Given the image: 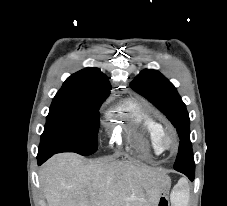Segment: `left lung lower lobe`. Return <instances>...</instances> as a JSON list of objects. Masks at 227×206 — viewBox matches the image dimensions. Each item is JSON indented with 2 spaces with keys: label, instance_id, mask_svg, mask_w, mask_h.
<instances>
[{
  "label": "left lung lower lobe",
  "instance_id": "0a47b994",
  "mask_svg": "<svg viewBox=\"0 0 227 206\" xmlns=\"http://www.w3.org/2000/svg\"><path fill=\"white\" fill-rule=\"evenodd\" d=\"M177 171L184 173L191 181L194 180L195 168H193V169H178Z\"/></svg>",
  "mask_w": 227,
  "mask_h": 206
}]
</instances>
